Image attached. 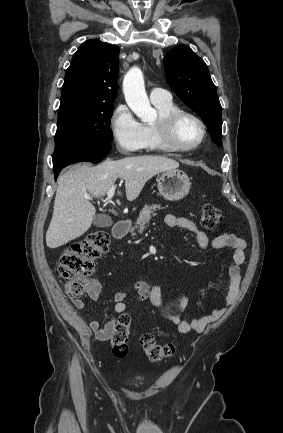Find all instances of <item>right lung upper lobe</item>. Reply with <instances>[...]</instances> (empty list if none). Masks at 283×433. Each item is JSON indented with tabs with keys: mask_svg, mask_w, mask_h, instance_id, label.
Masks as SVG:
<instances>
[{
	"mask_svg": "<svg viewBox=\"0 0 283 433\" xmlns=\"http://www.w3.org/2000/svg\"><path fill=\"white\" fill-rule=\"evenodd\" d=\"M119 52L118 46L97 39L83 43L66 71L59 110L77 104L114 103Z\"/></svg>",
	"mask_w": 283,
	"mask_h": 433,
	"instance_id": "cb5924a9",
	"label": "right lung upper lobe"
}]
</instances>
